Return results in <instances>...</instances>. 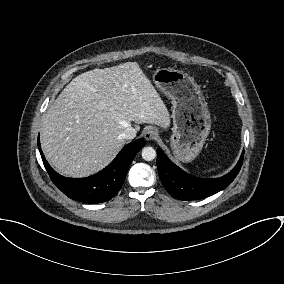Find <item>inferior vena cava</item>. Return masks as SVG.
<instances>
[{
  "label": "inferior vena cava",
  "mask_w": 284,
  "mask_h": 284,
  "mask_svg": "<svg viewBox=\"0 0 284 284\" xmlns=\"http://www.w3.org/2000/svg\"><path fill=\"white\" fill-rule=\"evenodd\" d=\"M136 129L133 127H128L126 128V130L121 134V137L123 139H127V140H131L134 139L136 137Z\"/></svg>",
  "instance_id": "1"
}]
</instances>
